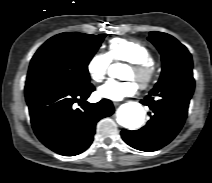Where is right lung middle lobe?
<instances>
[{
	"mask_svg": "<svg viewBox=\"0 0 212 183\" xmlns=\"http://www.w3.org/2000/svg\"><path fill=\"white\" fill-rule=\"evenodd\" d=\"M105 36L70 32L53 36L33 56L27 81L89 83L88 64Z\"/></svg>",
	"mask_w": 212,
	"mask_h": 183,
	"instance_id": "dd1d6c3e",
	"label": "right lung middle lobe"
}]
</instances>
